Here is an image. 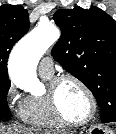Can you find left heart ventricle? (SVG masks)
Returning a JSON list of instances; mask_svg holds the SVG:
<instances>
[{
  "instance_id": "b2bd125f",
  "label": "left heart ventricle",
  "mask_w": 116,
  "mask_h": 134,
  "mask_svg": "<svg viewBox=\"0 0 116 134\" xmlns=\"http://www.w3.org/2000/svg\"><path fill=\"white\" fill-rule=\"evenodd\" d=\"M57 102L61 113L71 121H81L90 112V102L86 93L71 81L60 86Z\"/></svg>"
}]
</instances>
